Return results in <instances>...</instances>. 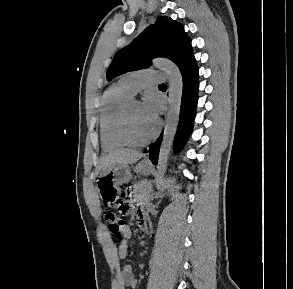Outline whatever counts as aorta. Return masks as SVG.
<instances>
[{"label":"aorta","mask_w":293,"mask_h":289,"mask_svg":"<svg viewBox=\"0 0 293 289\" xmlns=\"http://www.w3.org/2000/svg\"><path fill=\"white\" fill-rule=\"evenodd\" d=\"M153 65L165 71L169 82L168 113L157 164V181L160 182L166 172L170 149L177 130L183 91V80L179 68L171 61L157 59L153 62Z\"/></svg>","instance_id":"aorta-1"}]
</instances>
